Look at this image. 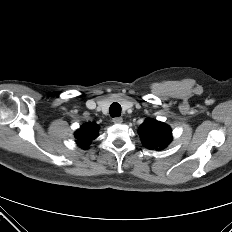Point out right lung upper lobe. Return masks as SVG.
<instances>
[{"label": "right lung upper lobe", "mask_w": 232, "mask_h": 232, "mask_svg": "<svg viewBox=\"0 0 232 232\" xmlns=\"http://www.w3.org/2000/svg\"><path fill=\"white\" fill-rule=\"evenodd\" d=\"M98 125L87 123L81 127V130L76 132L77 143L80 147L87 149L92 140L97 137Z\"/></svg>", "instance_id": "obj_1"}]
</instances>
